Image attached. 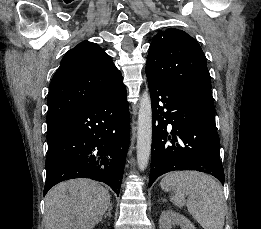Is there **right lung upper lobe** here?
I'll return each instance as SVG.
<instances>
[{
  "label": "right lung upper lobe",
  "instance_id": "obj_1",
  "mask_svg": "<svg viewBox=\"0 0 261 229\" xmlns=\"http://www.w3.org/2000/svg\"><path fill=\"white\" fill-rule=\"evenodd\" d=\"M122 80L109 55L97 44H78L65 54L51 80L48 129L99 99Z\"/></svg>",
  "mask_w": 261,
  "mask_h": 229
}]
</instances>
